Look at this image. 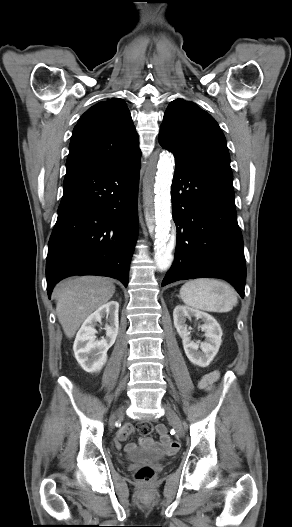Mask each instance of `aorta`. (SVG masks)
Masks as SVG:
<instances>
[{"instance_id": "762f6f07", "label": "aorta", "mask_w": 292, "mask_h": 527, "mask_svg": "<svg viewBox=\"0 0 292 527\" xmlns=\"http://www.w3.org/2000/svg\"><path fill=\"white\" fill-rule=\"evenodd\" d=\"M174 158L163 153L157 165L152 162L145 174L143 190L145 201L155 208V260L160 270L172 263L170 188L174 171Z\"/></svg>"}]
</instances>
